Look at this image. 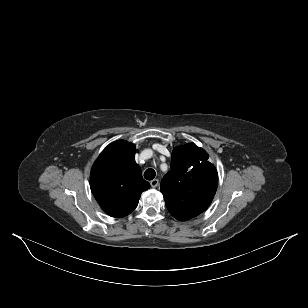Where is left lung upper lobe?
Instances as JSON below:
<instances>
[{"label": "left lung upper lobe", "instance_id": "obj_1", "mask_svg": "<svg viewBox=\"0 0 308 308\" xmlns=\"http://www.w3.org/2000/svg\"><path fill=\"white\" fill-rule=\"evenodd\" d=\"M217 184L218 173L206 151L189 143L174 148L171 170L161 180L160 191L171 215L186 221L208 208Z\"/></svg>", "mask_w": 308, "mask_h": 308}]
</instances>
